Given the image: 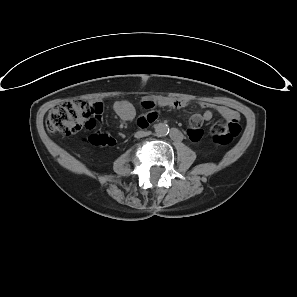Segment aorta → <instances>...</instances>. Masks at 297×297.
<instances>
[{
  "label": "aorta",
  "instance_id": "obj_1",
  "mask_svg": "<svg viewBox=\"0 0 297 297\" xmlns=\"http://www.w3.org/2000/svg\"><path fill=\"white\" fill-rule=\"evenodd\" d=\"M155 132L159 136L167 135L169 133V126L165 123L156 124Z\"/></svg>",
  "mask_w": 297,
  "mask_h": 297
}]
</instances>
